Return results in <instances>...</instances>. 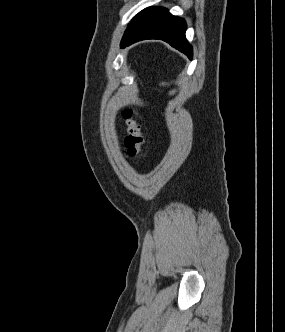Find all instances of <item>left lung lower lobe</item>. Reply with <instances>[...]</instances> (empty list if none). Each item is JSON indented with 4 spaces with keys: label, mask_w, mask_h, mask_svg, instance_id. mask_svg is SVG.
<instances>
[{
    "label": "left lung lower lobe",
    "mask_w": 285,
    "mask_h": 332,
    "mask_svg": "<svg viewBox=\"0 0 285 332\" xmlns=\"http://www.w3.org/2000/svg\"><path fill=\"white\" fill-rule=\"evenodd\" d=\"M186 22L166 9L150 7L141 11L127 27L121 48L144 39H161L192 59V47L186 37Z\"/></svg>",
    "instance_id": "obj_1"
}]
</instances>
